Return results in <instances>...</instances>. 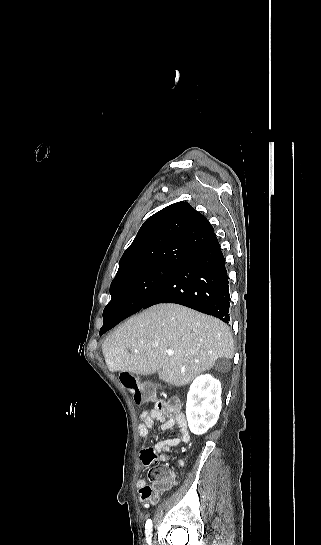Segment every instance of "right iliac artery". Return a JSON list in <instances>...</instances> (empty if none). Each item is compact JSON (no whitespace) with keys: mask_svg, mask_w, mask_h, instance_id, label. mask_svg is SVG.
<instances>
[{"mask_svg":"<svg viewBox=\"0 0 321 545\" xmlns=\"http://www.w3.org/2000/svg\"><path fill=\"white\" fill-rule=\"evenodd\" d=\"M145 529H146L145 533H146L147 543H148V545H151V541H152V521L150 519H148L146 521Z\"/></svg>","mask_w":321,"mask_h":545,"instance_id":"obj_1","label":"right iliac artery"}]
</instances>
